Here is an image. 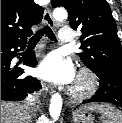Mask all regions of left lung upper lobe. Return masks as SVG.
Instances as JSON below:
<instances>
[{
	"label": "left lung upper lobe",
	"mask_w": 122,
	"mask_h": 123,
	"mask_svg": "<svg viewBox=\"0 0 122 123\" xmlns=\"http://www.w3.org/2000/svg\"><path fill=\"white\" fill-rule=\"evenodd\" d=\"M52 6L66 8L70 26L81 28L78 55L91 71L122 69L121 44L106 0H52Z\"/></svg>",
	"instance_id": "1"
}]
</instances>
